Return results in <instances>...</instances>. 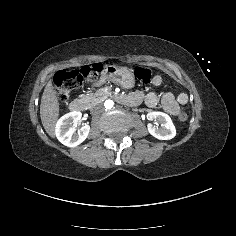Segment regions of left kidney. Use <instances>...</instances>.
Returning <instances> with one entry per match:
<instances>
[{"instance_id": "left-kidney-1", "label": "left kidney", "mask_w": 236, "mask_h": 236, "mask_svg": "<svg viewBox=\"0 0 236 236\" xmlns=\"http://www.w3.org/2000/svg\"><path fill=\"white\" fill-rule=\"evenodd\" d=\"M147 119L152 121L157 119L160 127L149 123L147 125L149 133L159 140H170L175 137L176 129L169 115L163 112H150Z\"/></svg>"}]
</instances>
